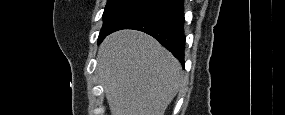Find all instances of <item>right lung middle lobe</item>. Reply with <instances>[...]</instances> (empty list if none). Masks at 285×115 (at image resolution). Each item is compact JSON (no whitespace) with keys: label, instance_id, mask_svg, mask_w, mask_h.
Returning <instances> with one entry per match:
<instances>
[{"label":"right lung middle lobe","instance_id":"right-lung-middle-lobe-1","mask_svg":"<svg viewBox=\"0 0 285 115\" xmlns=\"http://www.w3.org/2000/svg\"><path fill=\"white\" fill-rule=\"evenodd\" d=\"M154 0H108L103 13V26L98 41L115 28L123 19L145 7Z\"/></svg>","mask_w":285,"mask_h":115}]
</instances>
